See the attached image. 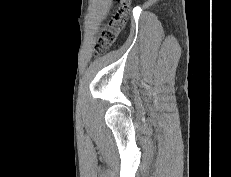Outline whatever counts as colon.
I'll return each instance as SVG.
<instances>
[{"label":"colon","mask_w":231,"mask_h":177,"mask_svg":"<svg viewBox=\"0 0 231 177\" xmlns=\"http://www.w3.org/2000/svg\"><path fill=\"white\" fill-rule=\"evenodd\" d=\"M120 3L119 10L109 21L108 25L102 30L97 45L95 54L104 53L116 41L117 36L125 25V16L130 4V0H117Z\"/></svg>","instance_id":"1"}]
</instances>
